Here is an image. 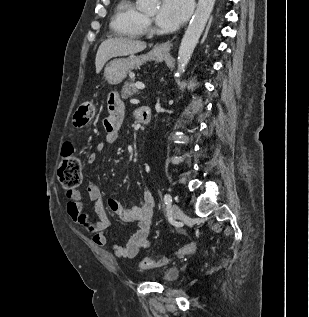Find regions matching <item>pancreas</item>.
<instances>
[{"label":"pancreas","mask_w":309,"mask_h":317,"mask_svg":"<svg viewBox=\"0 0 309 317\" xmlns=\"http://www.w3.org/2000/svg\"><path fill=\"white\" fill-rule=\"evenodd\" d=\"M137 92L138 90L135 87L134 79L131 78L124 83L123 89L121 91V96L122 98H128L129 96H132Z\"/></svg>","instance_id":"cf45deb5"}]
</instances>
